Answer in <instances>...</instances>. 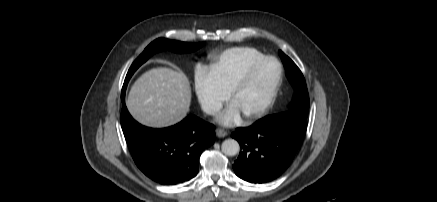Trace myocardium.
I'll return each instance as SVG.
<instances>
[{"label": "myocardium", "instance_id": "1", "mask_svg": "<svg viewBox=\"0 0 437 202\" xmlns=\"http://www.w3.org/2000/svg\"><path fill=\"white\" fill-rule=\"evenodd\" d=\"M267 61H273L276 63L277 65V74L276 77L270 87L269 93L266 97V99L264 100V102L254 111L245 114V118L247 120H254L257 119L259 117H261L262 115H264L269 109L270 107L273 105L281 81H282V76H283V68L282 65L280 63V61L274 57V56H264L260 59L255 60L254 62H252L248 68L245 70V72L242 74V76L237 80V82L234 84V86L231 89V98L234 100L235 96L247 85V83L251 80L253 74L255 73L256 69L263 63L267 62Z\"/></svg>", "mask_w": 437, "mask_h": 202}]
</instances>
